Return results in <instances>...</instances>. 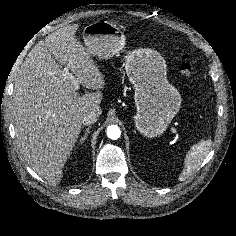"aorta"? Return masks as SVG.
Listing matches in <instances>:
<instances>
[{
  "mask_svg": "<svg viewBox=\"0 0 236 236\" xmlns=\"http://www.w3.org/2000/svg\"><path fill=\"white\" fill-rule=\"evenodd\" d=\"M121 130L117 125H110L107 128V136L112 140H116L120 137Z\"/></svg>",
  "mask_w": 236,
  "mask_h": 236,
  "instance_id": "aorta-1",
  "label": "aorta"
}]
</instances>
